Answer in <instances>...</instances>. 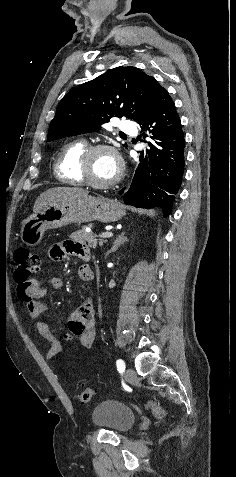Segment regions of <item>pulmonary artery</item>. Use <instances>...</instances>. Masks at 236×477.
I'll return each instance as SVG.
<instances>
[{
  "mask_svg": "<svg viewBox=\"0 0 236 477\" xmlns=\"http://www.w3.org/2000/svg\"><path fill=\"white\" fill-rule=\"evenodd\" d=\"M119 129L126 134L136 133V128L131 121H121L119 124Z\"/></svg>",
  "mask_w": 236,
  "mask_h": 477,
  "instance_id": "pulmonary-artery-1",
  "label": "pulmonary artery"
}]
</instances>
